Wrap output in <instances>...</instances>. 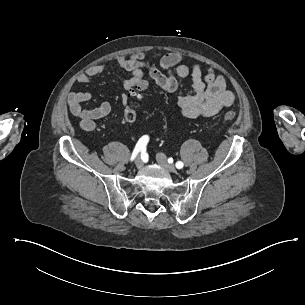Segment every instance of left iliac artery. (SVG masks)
Segmentation results:
<instances>
[{
	"label": "left iliac artery",
	"mask_w": 305,
	"mask_h": 305,
	"mask_svg": "<svg viewBox=\"0 0 305 305\" xmlns=\"http://www.w3.org/2000/svg\"><path fill=\"white\" fill-rule=\"evenodd\" d=\"M183 167V163L181 161H178L176 163V168L181 169Z\"/></svg>",
	"instance_id": "44dca946"
}]
</instances>
